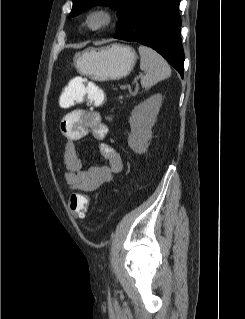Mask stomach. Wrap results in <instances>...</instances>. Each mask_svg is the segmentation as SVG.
I'll return each instance as SVG.
<instances>
[{"instance_id":"stomach-1","label":"stomach","mask_w":245,"mask_h":319,"mask_svg":"<svg viewBox=\"0 0 245 319\" xmlns=\"http://www.w3.org/2000/svg\"><path fill=\"white\" fill-rule=\"evenodd\" d=\"M73 62L79 73L93 80H119L132 71L136 63V53L130 46L112 44L77 53Z\"/></svg>"}]
</instances>
